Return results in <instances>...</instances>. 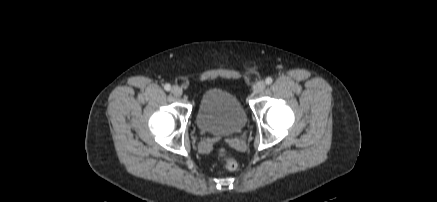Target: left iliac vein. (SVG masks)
Here are the masks:
<instances>
[{"label":"left iliac vein","mask_w":437,"mask_h":202,"mask_svg":"<svg viewBox=\"0 0 437 202\" xmlns=\"http://www.w3.org/2000/svg\"><path fill=\"white\" fill-rule=\"evenodd\" d=\"M265 87H266V84L264 81L257 82L254 86V93L255 94L262 93L264 91Z\"/></svg>","instance_id":"left-iliac-vein-1"}]
</instances>
